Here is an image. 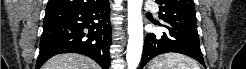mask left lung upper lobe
<instances>
[{
    "label": "left lung upper lobe",
    "instance_id": "1",
    "mask_svg": "<svg viewBox=\"0 0 246 69\" xmlns=\"http://www.w3.org/2000/svg\"><path fill=\"white\" fill-rule=\"evenodd\" d=\"M159 6V18L167 23L197 28L193 0H155Z\"/></svg>",
    "mask_w": 246,
    "mask_h": 69
}]
</instances>
